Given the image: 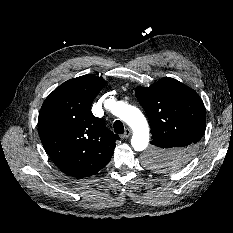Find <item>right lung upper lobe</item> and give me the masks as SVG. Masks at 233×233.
I'll return each instance as SVG.
<instances>
[{"mask_svg": "<svg viewBox=\"0 0 233 233\" xmlns=\"http://www.w3.org/2000/svg\"><path fill=\"white\" fill-rule=\"evenodd\" d=\"M104 85L94 75L68 80L46 98L39 113L38 132L46 152L63 173L78 179L104 168L120 139L90 110Z\"/></svg>", "mask_w": 233, "mask_h": 233, "instance_id": "obj_1", "label": "right lung upper lobe"}]
</instances>
